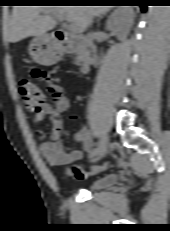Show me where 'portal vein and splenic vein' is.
Returning <instances> with one entry per match:
<instances>
[{"instance_id":"portal-vein-and-splenic-vein-1","label":"portal vein and splenic vein","mask_w":170,"mask_h":231,"mask_svg":"<svg viewBox=\"0 0 170 231\" xmlns=\"http://www.w3.org/2000/svg\"><path fill=\"white\" fill-rule=\"evenodd\" d=\"M57 19H58L59 21H61V22L64 21V18H63V16H62L61 14H58V15H57ZM69 27H70V29H71L72 31H76V27H75V25H74L73 23H70Z\"/></svg>"}]
</instances>
